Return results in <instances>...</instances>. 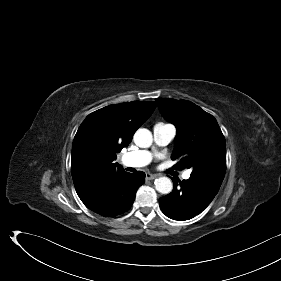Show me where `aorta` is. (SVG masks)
Returning a JSON list of instances; mask_svg holds the SVG:
<instances>
[{
	"label": "aorta",
	"instance_id": "1",
	"mask_svg": "<svg viewBox=\"0 0 281 281\" xmlns=\"http://www.w3.org/2000/svg\"><path fill=\"white\" fill-rule=\"evenodd\" d=\"M134 143L140 148H148L152 145V133L146 128L138 129L133 137ZM155 189L162 194H168L173 189V184L168 177L155 179Z\"/></svg>",
	"mask_w": 281,
	"mask_h": 281
}]
</instances>
